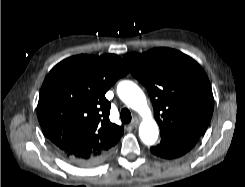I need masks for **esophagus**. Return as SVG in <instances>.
Listing matches in <instances>:
<instances>
[{
    "label": "esophagus",
    "mask_w": 245,
    "mask_h": 187,
    "mask_svg": "<svg viewBox=\"0 0 245 187\" xmlns=\"http://www.w3.org/2000/svg\"><path fill=\"white\" fill-rule=\"evenodd\" d=\"M139 120L137 119V118H134L132 121H131V123H130V126L131 127H137L138 125H139Z\"/></svg>",
    "instance_id": "esophagus-1"
}]
</instances>
